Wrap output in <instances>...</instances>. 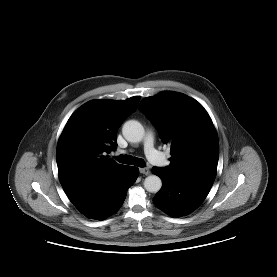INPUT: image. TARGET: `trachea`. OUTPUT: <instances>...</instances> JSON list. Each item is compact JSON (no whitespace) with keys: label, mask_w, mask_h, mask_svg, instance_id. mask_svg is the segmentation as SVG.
<instances>
[{"label":"trachea","mask_w":277,"mask_h":277,"mask_svg":"<svg viewBox=\"0 0 277 277\" xmlns=\"http://www.w3.org/2000/svg\"><path fill=\"white\" fill-rule=\"evenodd\" d=\"M116 160L119 163H123V164H133V165L138 166V167H144L145 166V162H144L143 159L133 158L130 155H120V156L116 157Z\"/></svg>","instance_id":"trachea-1"}]
</instances>
